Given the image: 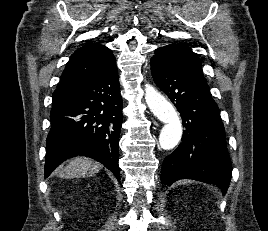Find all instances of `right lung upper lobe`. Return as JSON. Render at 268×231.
<instances>
[{
  "label": "right lung upper lobe",
  "instance_id": "cb5924a9",
  "mask_svg": "<svg viewBox=\"0 0 268 231\" xmlns=\"http://www.w3.org/2000/svg\"><path fill=\"white\" fill-rule=\"evenodd\" d=\"M115 61L106 46L90 43L74 52L61 75L58 89L54 92L71 90L98 74Z\"/></svg>",
  "mask_w": 268,
  "mask_h": 231
}]
</instances>
